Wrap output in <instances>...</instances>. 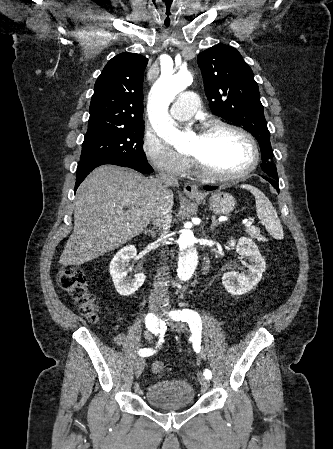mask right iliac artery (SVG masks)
<instances>
[{"label":"right iliac artery","instance_id":"1","mask_svg":"<svg viewBox=\"0 0 333 449\" xmlns=\"http://www.w3.org/2000/svg\"><path fill=\"white\" fill-rule=\"evenodd\" d=\"M146 327L148 328V330L151 333H153L155 335H158L159 332L161 334L164 333V329H163L164 325H163L162 321H159V319L155 315H153L152 313H149L146 316ZM153 353H154V351L152 349H149V348L148 349L147 348L140 349V351H139V355L140 356H150Z\"/></svg>","mask_w":333,"mask_h":449}]
</instances>
